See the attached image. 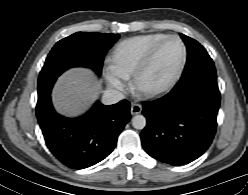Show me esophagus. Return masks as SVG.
<instances>
[{"instance_id": "1", "label": "esophagus", "mask_w": 248, "mask_h": 195, "mask_svg": "<svg viewBox=\"0 0 248 195\" xmlns=\"http://www.w3.org/2000/svg\"><path fill=\"white\" fill-rule=\"evenodd\" d=\"M141 111H142V106L140 104L138 103L131 104L130 112L132 115L140 114Z\"/></svg>"}]
</instances>
